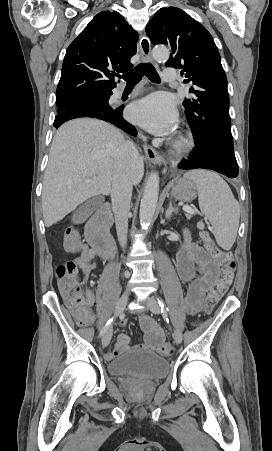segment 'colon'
Segmentation results:
<instances>
[{
    "mask_svg": "<svg viewBox=\"0 0 272 451\" xmlns=\"http://www.w3.org/2000/svg\"><path fill=\"white\" fill-rule=\"evenodd\" d=\"M200 237L204 239V243L209 246L208 250L219 262L223 263V267L215 274L213 287L207 297V309L210 310L231 285L234 279L236 261L233 252L219 249L211 244L209 232L207 230H202L200 232ZM62 242L63 247L67 249V254L69 256H75L77 254V249L81 248V237L77 230H64ZM76 263L75 260H68L56 267L59 289H62L61 295L62 297H66V303H71V310H88V303H91V294H88V288H79L80 282L78 280V275L75 274L77 270ZM78 264L82 265L84 271H90L92 269V264L90 262L83 263L82 260H79ZM79 324L83 325L84 322L80 321ZM173 351L174 348L170 342L160 343V354L170 355Z\"/></svg>",
    "mask_w": 272,
    "mask_h": 451,
    "instance_id": "5ec220e1",
    "label": "colon"
}]
</instances>
